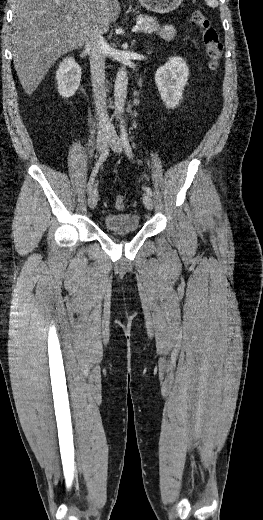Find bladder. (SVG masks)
Wrapping results in <instances>:
<instances>
[{
	"label": "bladder",
	"mask_w": 263,
	"mask_h": 520,
	"mask_svg": "<svg viewBox=\"0 0 263 520\" xmlns=\"http://www.w3.org/2000/svg\"><path fill=\"white\" fill-rule=\"evenodd\" d=\"M140 227V217L135 213L108 214L103 218V228L114 234L136 232Z\"/></svg>",
	"instance_id": "obj_1"
}]
</instances>
